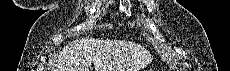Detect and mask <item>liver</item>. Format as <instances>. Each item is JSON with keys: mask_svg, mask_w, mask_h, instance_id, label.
<instances>
[{"mask_svg": "<svg viewBox=\"0 0 230 71\" xmlns=\"http://www.w3.org/2000/svg\"><path fill=\"white\" fill-rule=\"evenodd\" d=\"M152 61L139 46L121 41L83 38L68 43L58 55L54 71H138Z\"/></svg>", "mask_w": 230, "mask_h": 71, "instance_id": "liver-1", "label": "liver"}]
</instances>
